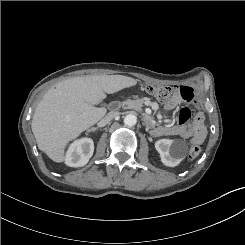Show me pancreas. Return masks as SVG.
I'll return each instance as SVG.
<instances>
[{
	"mask_svg": "<svg viewBox=\"0 0 245 245\" xmlns=\"http://www.w3.org/2000/svg\"><path fill=\"white\" fill-rule=\"evenodd\" d=\"M143 99H127L123 102L119 103V107H122L123 109H134V110H141V107L143 106Z\"/></svg>",
	"mask_w": 245,
	"mask_h": 245,
	"instance_id": "cf45deb5",
	"label": "pancreas"
}]
</instances>
